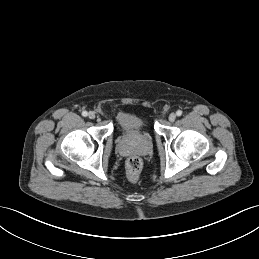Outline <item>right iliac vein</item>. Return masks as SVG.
<instances>
[{
  "mask_svg": "<svg viewBox=\"0 0 259 259\" xmlns=\"http://www.w3.org/2000/svg\"><path fill=\"white\" fill-rule=\"evenodd\" d=\"M88 117H89L90 119H95V117H96L95 112L90 111L89 114H88Z\"/></svg>",
  "mask_w": 259,
  "mask_h": 259,
  "instance_id": "63e3f726",
  "label": "right iliac vein"
}]
</instances>
